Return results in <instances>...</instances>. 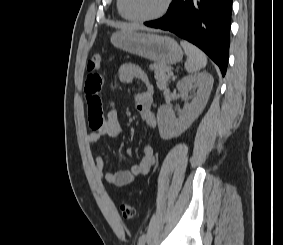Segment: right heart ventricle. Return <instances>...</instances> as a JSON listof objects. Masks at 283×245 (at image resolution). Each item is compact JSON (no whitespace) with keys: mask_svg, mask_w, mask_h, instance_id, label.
<instances>
[{"mask_svg":"<svg viewBox=\"0 0 283 245\" xmlns=\"http://www.w3.org/2000/svg\"><path fill=\"white\" fill-rule=\"evenodd\" d=\"M117 10H118V13L121 17L126 18L124 13H123V10H122V1L121 0H117Z\"/></svg>","mask_w":283,"mask_h":245,"instance_id":"obj_1","label":"right heart ventricle"}]
</instances>
